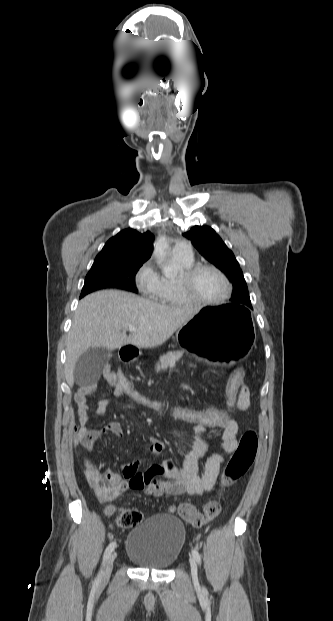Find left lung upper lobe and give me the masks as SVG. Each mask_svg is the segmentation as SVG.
I'll return each mask as SVG.
<instances>
[{"mask_svg":"<svg viewBox=\"0 0 333 621\" xmlns=\"http://www.w3.org/2000/svg\"><path fill=\"white\" fill-rule=\"evenodd\" d=\"M205 259L229 275L233 283V305L251 307L246 281L233 252L228 249L219 235L208 226H194L183 234Z\"/></svg>","mask_w":333,"mask_h":621,"instance_id":"obj_1","label":"left lung upper lobe"}]
</instances>
